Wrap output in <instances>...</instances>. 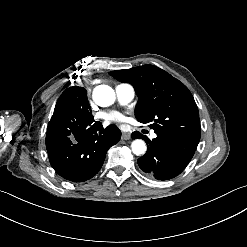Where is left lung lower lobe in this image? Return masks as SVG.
<instances>
[{
  "label": "left lung lower lobe",
  "mask_w": 247,
  "mask_h": 247,
  "mask_svg": "<svg viewBox=\"0 0 247 247\" xmlns=\"http://www.w3.org/2000/svg\"><path fill=\"white\" fill-rule=\"evenodd\" d=\"M157 137L150 141L139 132L133 138H142L148 149L138 159L139 167L158 180H168L179 175L192 159L198 142L172 132H155Z\"/></svg>",
  "instance_id": "left-lung-lower-lobe-1"
}]
</instances>
